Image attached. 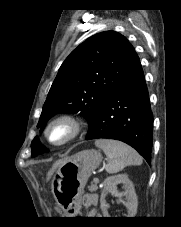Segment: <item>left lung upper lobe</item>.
Here are the masks:
<instances>
[{
    "mask_svg": "<svg viewBox=\"0 0 181 227\" xmlns=\"http://www.w3.org/2000/svg\"><path fill=\"white\" fill-rule=\"evenodd\" d=\"M137 57L128 40L115 31L101 32L88 38L62 63L37 126H43L59 112H80L91 129L104 103ZM31 150L32 157L48 151L38 137L33 139Z\"/></svg>",
    "mask_w": 181,
    "mask_h": 227,
    "instance_id": "left-lung-upper-lobe-1",
    "label": "left lung upper lobe"
}]
</instances>
